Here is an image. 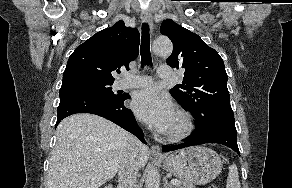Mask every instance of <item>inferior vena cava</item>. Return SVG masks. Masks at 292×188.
I'll use <instances>...</instances> for the list:
<instances>
[{"label": "inferior vena cava", "mask_w": 292, "mask_h": 188, "mask_svg": "<svg viewBox=\"0 0 292 188\" xmlns=\"http://www.w3.org/2000/svg\"><path fill=\"white\" fill-rule=\"evenodd\" d=\"M143 146L137 138H130L126 156L122 159L118 169L117 188H134L139 169V152Z\"/></svg>", "instance_id": "obj_1"}]
</instances>
